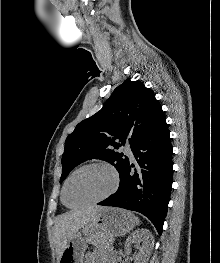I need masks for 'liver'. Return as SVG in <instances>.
<instances>
[{
    "label": "liver",
    "instance_id": "liver-1",
    "mask_svg": "<svg viewBox=\"0 0 220 263\" xmlns=\"http://www.w3.org/2000/svg\"><path fill=\"white\" fill-rule=\"evenodd\" d=\"M104 207L87 206L74 209L60 215L53 228L54 241L57 252V263L71 237L82 227L87 225Z\"/></svg>",
    "mask_w": 220,
    "mask_h": 263
}]
</instances>
